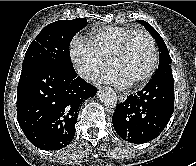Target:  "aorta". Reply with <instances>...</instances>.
<instances>
[{"label": "aorta", "mask_w": 196, "mask_h": 166, "mask_svg": "<svg viewBox=\"0 0 196 166\" xmlns=\"http://www.w3.org/2000/svg\"><path fill=\"white\" fill-rule=\"evenodd\" d=\"M100 100L110 108H115L117 105L116 93L109 87L101 89L98 93Z\"/></svg>", "instance_id": "1"}]
</instances>
